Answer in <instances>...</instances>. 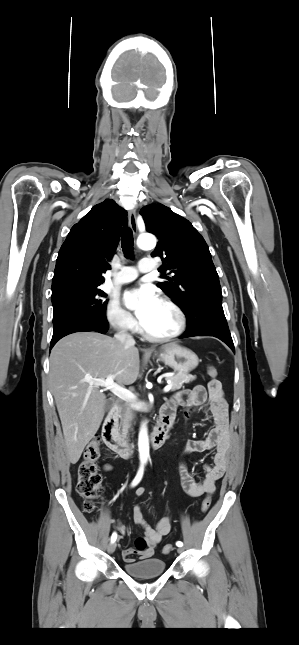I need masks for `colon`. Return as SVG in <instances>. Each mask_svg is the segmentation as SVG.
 Here are the masks:
<instances>
[{"instance_id":"colon-1","label":"colon","mask_w":299,"mask_h":645,"mask_svg":"<svg viewBox=\"0 0 299 645\" xmlns=\"http://www.w3.org/2000/svg\"><path fill=\"white\" fill-rule=\"evenodd\" d=\"M208 373L212 377L209 382V388L217 391L221 389V383L217 379V371L213 366L208 367ZM100 455V442L98 439L91 440L83 452L82 461L78 467V478L76 483L77 493L85 499L83 508L86 512L91 513L95 509V500L102 494V478L96 464ZM211 505V498L207 496L201 505V510L207 512ZM146 547L145 540L140 538L136 541V548L139 551ZM173 550V546L167 544L163 547L162 552L168 554Z\"/></svg>"}]
</instances>
